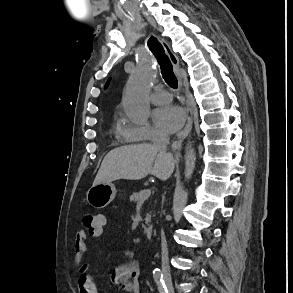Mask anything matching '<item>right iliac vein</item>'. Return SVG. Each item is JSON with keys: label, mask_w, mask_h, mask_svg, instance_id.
<instances>
[{"label": "right iliac vein", "mask_w": 293, "mask_h": 293, "mask_svg": "<svg viewBox=\"0 0 293 293\" xmlns=\"http://www.w3.org/2000/svg\"><path fill=\"white\" fill-rule=\"evenodd\" d=\"M164 280H165V283H166V286L168 288L169 293H174V287H173L170 275L165 274Z\"/></svg>", "instance_id": "right-iliac-vein-1"}]
</instances>
